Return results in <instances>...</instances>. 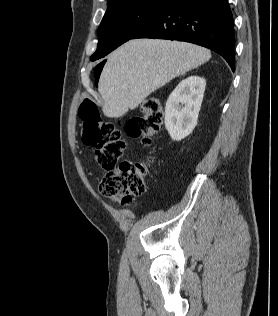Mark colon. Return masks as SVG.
<instances>
[{"instance_id": "5ec220e1", "label": "colon", "mask_w": 278, "mask_h": 316, "mask_svg": "<svg viewBox=\"0 0 278 316\" xmlns=\"http://www.w3.org/2000/svg\"><path fill=\"white\" fill-rule=\"evenodd\" d=\"M140 116L130 119L126 132L140 137L143 145L151 146L162 124V108L157 99H146ZM83 142L94 148L98 165L106 170L100 181V193L123 205L130 204L146 191V167L140 162H121L125 142L115 124L104 120L94 102L84 100L79 107Z\"/></svg>"}]
</instances>
